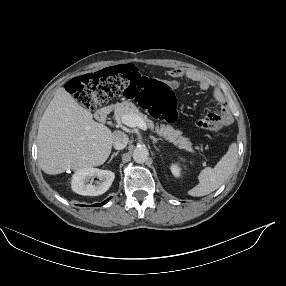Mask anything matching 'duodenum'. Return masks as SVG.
I'll list each match as a JSON object with an SVG mask.
<instances>
[{
  "label": "duodenum",
  "mask_w": 286,
  "mask_h": 286,
  "mask_svg": "<svg viewBox=\"0 0 286 286\" xmlns=\"http://www.w3.org/2000/svg\"><path fill=\"white\" fill-rule=\"evenodd\" d=\"M112 108L111 107H103L101 109H99L97 112H96V117L97 119L102 122V123H105L107 121V117L108 115L110 114Z\"/></svg>",
  "instance_id": "obj_1"
}]
</instances>
